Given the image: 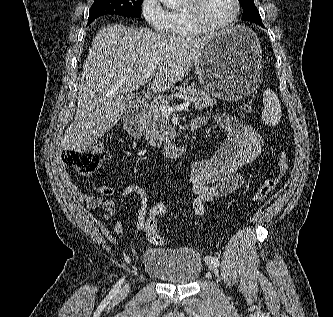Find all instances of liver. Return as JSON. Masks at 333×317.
<instances>
[{"label":"liver","instance_id":"1","mask_svg":"<svg viewBox=\"0 0 333 317\" xmlns=\"http://www.w3.org/2000/svg\"><path fill=\"white\" fill-rule=\"evenodd\" d=\"M210 37H180L124 24L99 30L84 64L77 112L61 139L62 149L84 150L104 136L128 112L125 97L151 77L154 92L183 80Z\"/></svg>","mask_w":333,"mask_h":317}]
</instances>
